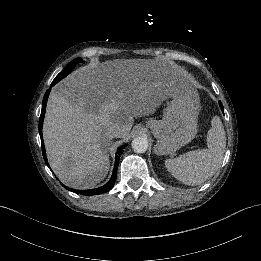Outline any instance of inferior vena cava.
<instances>
[{"instance_id": "inferior-vena-cava-1", "label": "inferior vena cava", "mask_w": 261, "mask_h": 261, "mask_svg": "<svg viewBox=\"0 0 261 261\" xmlns=\"http://www.w3.org/2000/svg\"><path fill=\"white\" fill-rule=\"evenodd\" d=\"M122 131V128L118 126L117 124H114L113 126L108 128V132L113 137H119L120 133Z\"/></svg>"}]
</instances>
